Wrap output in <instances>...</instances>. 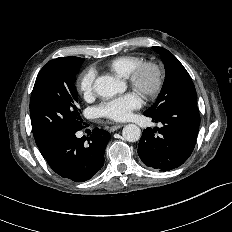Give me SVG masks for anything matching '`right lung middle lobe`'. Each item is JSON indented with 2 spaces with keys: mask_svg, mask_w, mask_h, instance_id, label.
<instances>
[{
  "mask_svg": "<svg viewBox=\"0 0 232 232\" xmlns=\"http://www.w3.org/2000/svg\"><path fill=\"white\" fill-rule=\"evenodd\" d=\"M83 58L69 56L49 61L40 70L31 94L30 116L36 144L43 156L57 140L82 128L75 75Z\"/></svg>",
  "mask_w": 232,
  "mask_h": 232,
  "instance_id": "obj_1",
  "label": "right lung middle lobe"
}]
</instances>
